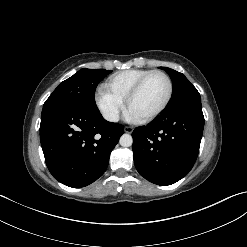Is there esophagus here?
<instances>
[{"label":"esophagus","mask_w":247,"mask_h":247,"mask_svg":"<svg viewBox=\"0 0 247 247\" xmlns=\"http://www.w3.org/2000/svg\"><path fill=\"white\" fill-rule=\"evenodd\" d=\"M124 131L126 132V133H132L133 132V127H131V126H125V128H124Z\"/></svg>","instance_id":"34e87169"}]
</instances>
